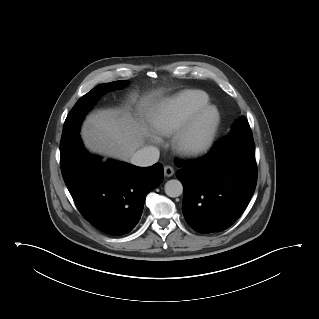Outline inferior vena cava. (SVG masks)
Segmentation results:
<instances>
[{"label":"inferior vena cava","instance_id":"inferior-vena-cava-1","mask_svg":"<svg viewBox=\"0 0 319 319\" xmlns=\"http://www.w3.org/2000/svg\"><path fill=\"white\" fill-rule=\"evenodd\" d=\"M160 151L158 148L153 146H145L136 151L130 162L133 165L146 167L155 164L159 159Z\"/></svg>","mask_w":319,"mask_h":319}]
</instances>
